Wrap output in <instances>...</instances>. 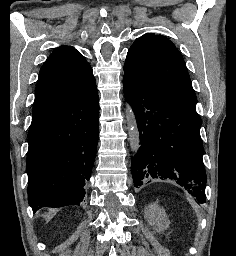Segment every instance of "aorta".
Returning <instances> with one entry per match:
<instances>
[{"label": "aorta", "instance_id": "obj_1", "mask_svg": "<svg viewBox=\"0 0 236 256\" xmlns=\"http://www.w3.org/2000/svg\"><path fill=\"white\" fill-rule=\"evenodd\" d=\"M125 118L127 123L126 129L128 131L130 149L133 155H135L140 148V134L136 117L130 104L125 105Z\"/></svg>", "mask_w": 236, "mask_h": 256}]
</instances>
